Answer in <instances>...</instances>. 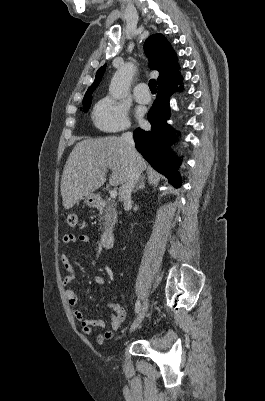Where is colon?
Instances as JSON below:
<instances>
[{
	"mask_svg": "<svg viewBox=\"0 0 265 401\" xmlns=\"http://www.w3.org/2000/svg\"><path fill=\"white\" fill-rule=\"evenodd\" d=\"M67 224L70 227H75L78 221V217L76 213H69L67 216Z\"/></svg>",
	"mask_w": 265,
	"mask_h": 401,
	"instance_id": "5ec220e1",
	"label": "colon"
}]
</instances>
